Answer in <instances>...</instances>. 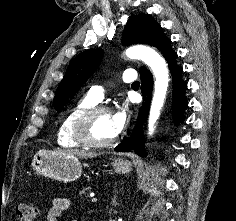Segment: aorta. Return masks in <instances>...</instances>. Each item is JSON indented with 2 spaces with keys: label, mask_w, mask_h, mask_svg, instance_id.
Masks as SVG:
<instances>
[{
  "label": "aorta",
  "mask_w": 236,
  "mask_h": 221,
  "mask_svg": "<svg viewBox=\"0 0 236 221\" xmlns=\"http://www.w3.org/2000/svg\"><path fill=\"white\" fill-rule=\"evenodd\" d=\"M126 56L131 59L142 60L151 68L155 77V89L148 122V134L152 135L167 94L169 82L168 69L165 60L154 49L145 45H135L128 48Z\"/></svg>",
  "instance_id": "762f6f07"
}]
</instances>
